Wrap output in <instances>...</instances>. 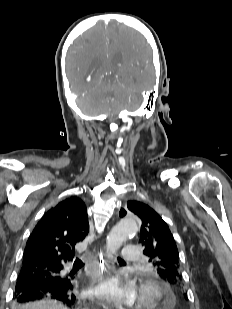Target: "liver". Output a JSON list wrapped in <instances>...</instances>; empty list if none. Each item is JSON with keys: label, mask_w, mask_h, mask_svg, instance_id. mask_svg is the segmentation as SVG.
I'll return each mask as SVG.
<instances>
[{"label": "liver", "mask_w": 232, "mask_h": 309, "mask_svg": "<svg viewBox=\"0 0 232 309\" xmlns=\"http://www.w3.org/2000/svg\"><path fill=\"white\" fill-rule=\"evenodd\" d=\"M19 309H68L55 300H41L21 306Z\"/></svg>", "instance_id": "1"}]
</instances>
